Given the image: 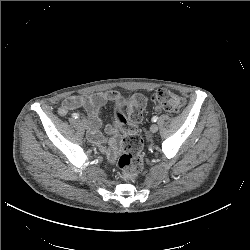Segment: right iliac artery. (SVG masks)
<instances>
[{
  "mask_svg": "<svg viewBox=\"0 0 250 250\" xmlns=\"http://www.w3.org/2000/svg\"><path fill=\"white\" fill-rule=\"evenodd\" d=\"M72 117H73L74 119H77V118H79V117H80V115H79V114H77V113H73V114H72Z\"/></svg>",
  "mask_w": 250,
  "mask_h": 250,
  "instance_id": "1",
  "label": "right iliac artery"
}]
</instances>
